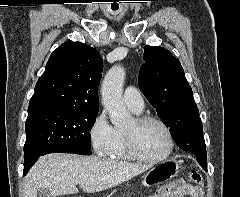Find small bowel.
Segmentation results:
<instances>
[{"instance_id": "obj_1", "label": "small bowel", "mask_w": 240, "mask_h": 197, "mask_svg": "<svg viewBox=\"0 0 240 197\" xmlns=\"http://www.w3.org/2000/svg\"><path fill=\"white\" fill-rule=\"evenodd\" d=\"M166 197H202L203 191L200 187L187 184L177 183L171 184L169 190L166 191ZM153 197V196H150ZM158 197V195L156 196Z\"/></svg>"}]
</instances>
